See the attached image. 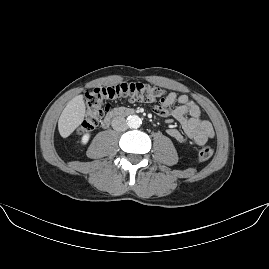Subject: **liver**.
Segmentation results:
<instances>
[{
	"label": "liver",
	"mask_w": 269,
	"mask_h": 269,
	"mask_svg": "<svg viewBox=\"0 0 269 269\" xmlns=\"http://www.w3.org/2000/svg\"><path fill=\"white\" fill-rule=\"evenodd\" d=\"M85 103L83 95L75 96L68 102L58 120L59 133L63 138L68 137L83 121Z\"/></svg>",
	"instance_id": "1"
}]
</instances>
